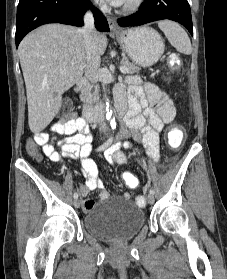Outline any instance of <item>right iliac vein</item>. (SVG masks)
<instances>
[{
  "label": "right iliac vein",
  "instance_id": "right-iliac-vein-1",
  "mask_svg": "<svg viewBox=\"0 0 227 279\" xmlns=\"http://www.w3.org/2000/svg\"><path fill=\"white\" fill-rule=\"evenodd\" d=\"M73 205L75 208H79L81 205V200L80 199H75L73 202Z\"/></svg>",
  "mask_w": 227,
  "mask_h": 279
}]
</instances>
